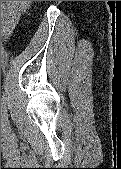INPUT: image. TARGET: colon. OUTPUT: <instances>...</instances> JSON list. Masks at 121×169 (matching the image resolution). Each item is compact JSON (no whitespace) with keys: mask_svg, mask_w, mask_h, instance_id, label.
Instances as JSON below:
<instances>
[{"mask_svg":"<svg viewBox=\"0 0 121 169\" xmlns=\"http://www.w3.org/2000/svg\"><path fill=\"white\" fill-rule=\"evenodd\" d=\"M31 1H5L6 17L9 29L17 22L19 16L29 9Z\"/></svg>","mask_w":121,"mask_h":169,"instance_id":"colon-1","label":"colon"}]
</instances>
